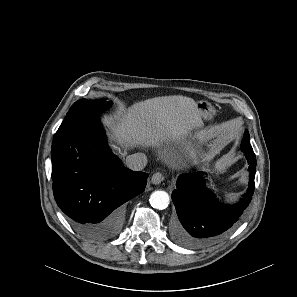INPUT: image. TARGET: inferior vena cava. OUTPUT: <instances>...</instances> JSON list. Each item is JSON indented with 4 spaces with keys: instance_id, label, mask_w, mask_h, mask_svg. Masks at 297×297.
<instances>
[{
    "instance_id": "1",
    "label": "inferior vena cava",
    "mask_w": 297,
    "mask_h": 297,
    "mask_svg": "<svg viewBox=\"0 0 297 297\" xmlns=\"http://www.w3.org/2000/svg\"><path fill=\"white\" fill-rule=\"evenodd\" d=\"M147 161L144 153H135L126 157L125 164L133 171H140L146 166Z\"/></svg>"
}]
</instances>
